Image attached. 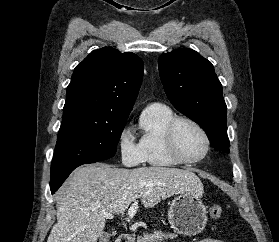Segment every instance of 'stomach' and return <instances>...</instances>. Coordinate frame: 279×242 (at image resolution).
Listing matches in <instances>:
<instances>
[{
    "label": "stomach",
    "mask_w": 279,
    "mask_h": 242,
    "mask_svg": "<svg viewBox=\"0 0 279 242\" xmlns=\"http://www.w3.org/2000/svg\"><path fill=\"white\" fill-rule=\"evenodd\" d=\"M207 209L196 195L179 194L168 209V221L178 234L194 236L204 230L207 224Z\"/></svg>",
    "instance_id": "1"
}]
</instances>
